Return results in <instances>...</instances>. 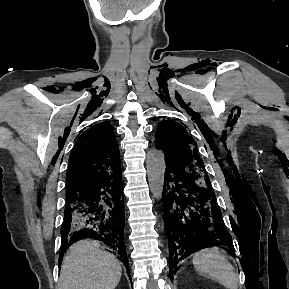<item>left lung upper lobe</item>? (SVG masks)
I'll list each match as a JSON object with an SVG mask.
<instances>
[{"label": "left lung upper lobe", "instance_id": "left-lung-upper-lobe-1", "mask_svg": "<svg viewBox=\"0 0 289 289\" xmlns=\"http://www.w3.org/2000/svg\"><path fill=\"white\" fill-rule=\"evenodd\" d=\"M156 148L165 154L167 165L189 173L195 179L210 183L208 174L197 151V143L186 129L172 120H163L156 131Z\"/></svg>", "mask_w": 289, "mask_h": 289}]
</instances>
